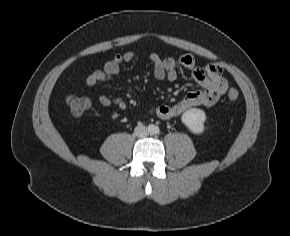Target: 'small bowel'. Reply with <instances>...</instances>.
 Masks as SVG:
<instances>
[{
	"label": "small bowel",
	"mask_w": 290,
	"mask_h": 236,
	"mask_svg": "<svg viewBox=\"0 0 290 236\" xmlns=\"http://www.w3.org/2000/svg\"><path fill=\"white\" fill-rule=\"evenodd\" d=\"M149 58L157 79L175 82L178 79L177 66L180 65L191 70L193 79L201 88L188 92L176 104L160 105L151 109L150 113L161 119L177 117L192 107H211L218 102L227 89V79L223 76L222 68L218 64L198 66L195 57L191 54H182L177 60L171 57L161 58L157 54H151ZM133 60L134 54L130 51L116 54L104 64L102 69H96L87 76L86 85L93 87L99 82L115 77L123 63ZM99 102L105 107L115 104L120 109L126 108V103L122 99H113L105 94L99 97Z\"/></svg>",
	"instance_id": "c3829d8e"
}]
</instances>
